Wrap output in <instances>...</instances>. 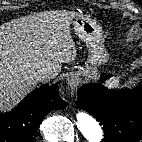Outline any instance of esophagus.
<instances>
[{"label": "esophagus", "instance_id": "esophagus-1", "mask_svg": "<svg viewBox=\"0 0 142 142\" xmlns=\"http://www.w3.org/2000/svg\"><path fill=\"white\" fill-rule=\"evenodd\" d=\"M67 82H68L69 86L75 87V86H77V85L80 84L81 78L79 77V74H77V73H71L67 77Z\"/></svg>", "mask_w": 142, "mask_h": 142}]
</instances>
